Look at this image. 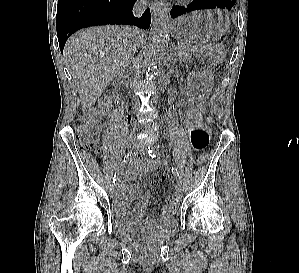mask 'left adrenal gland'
Masks as SVG:
<instances>
[{
  "instance_id": "1",
  "label": "left adrenal gland",
  "mask_w": 299,
  "mask_h": 273,
  "mask_svg": "<svg viewBox=\"0 0 299 273\" xmlns=\"http://www.w3.org/2000/svg\"><path fill=\"white\" fill-rule=\"evenodd\" d=\"M173 52H174V50H173V48H171V49H170V54H169V56H168V62H169L168 65H171V64L174 65L175 62H176V59L174 58Z\"/></svg>"
}]
</instances>
